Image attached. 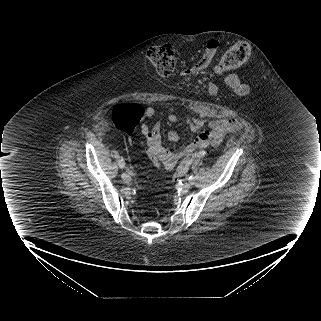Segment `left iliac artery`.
Returning <instances> with one entry per match:
<instances>
[{"instance_id":"left-iliac-artery-1","label":"left iliac artery","mask_w":321,"mask_h":321,"mask_svg":"<svg viewBox=\"0 0 321 321\" xmlns=\"http://www.w3.org/2000/svg\"><path fill=\"white\" fill-rule=\"evenodd\" d=\"M188 180L191 184H194L195 178L193 176H190Z\"/></svg>"}]
</instances>
